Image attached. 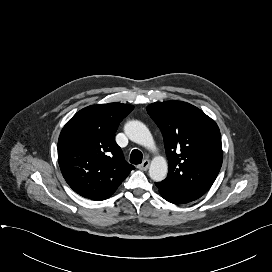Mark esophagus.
I'll use <instances>...</instances> for the list:
<instances>
[{
    "mask_svg": "<svg viewBox=\"0 0 272 272\" xmlns=\"http://www.w3.org/2000/svg\"><path fill=\"white\" fill-rule=\"evenodd\" d=\"M149 165H150V161L148 159L144 160L142 162V164H140L138 166V169L142 170V171H146L148 168H149Z\"/></svg>",
    "mask_w": 272,
    "mask_h": 272,
    "instance_id": "34e87169",
    "label": "esophagus"
}]
</instances>
